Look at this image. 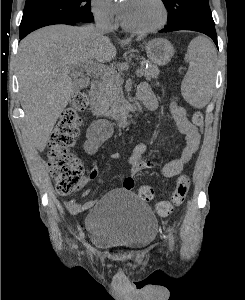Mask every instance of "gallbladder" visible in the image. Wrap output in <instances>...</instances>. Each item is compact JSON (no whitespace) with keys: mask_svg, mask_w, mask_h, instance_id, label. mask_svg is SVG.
I'll return each instance as SVG.
<instances>
[{"mask_svg":"<svg viewBox=\"0 0 245 300\" xmlns=\"http://www.w3.org/2000/svg\"><path fill=\"white\" fill-rule=\"evenodd\" d=\"M74 84L77 89L83 88L86 86V81L85 80H76L74 81Z\"/></svg>","mask_w":245,"mask_h":300,"instance_id":"obj_1","label":"gallbladder"}]
</instances>
